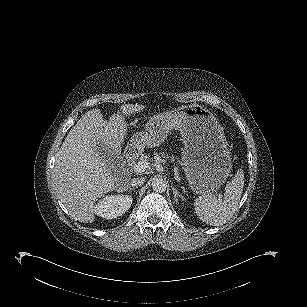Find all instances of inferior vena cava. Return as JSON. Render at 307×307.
Returning <instances> with one entry per match:
<instances>
[{"mask_svg":"<svg viewBox=\"0 0 307 307\" xmlns=\"http://www.w3.org/2000/svg\"><path fill=\"white\" fill-rule=\"evenodd\" d=\"M144 182H145V178H142V177L141 178H133V179L130 180V185L132 187H137V186L143 185Z\"/></svg>","mask_w":307,"mask_h":307,"instance_id":"obj_1","label":"inferior vena cava"}]
</instances>
